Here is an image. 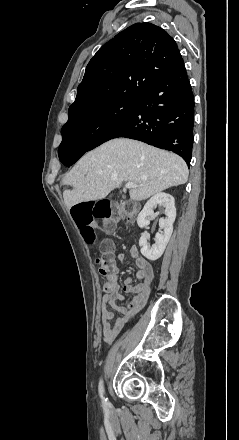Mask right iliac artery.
Masks as SVG:
<instances>
[{
  "mask_svg": "<svg viewBox=\"0 0 239 440\" xmlns=\"http://www.w3.org/2000/svg\"><path fill=\"white\" fill-rule=\"evenodd\" d=\"M99 393H100V396L102 398L103 407L105 409H109L111 407V404L109 403L107 398H105L104 395H103V393H104V386H103V381L102 380H100V382H99Z\"/></svg>",
  "mask_w": 239,
  "mask_h": 440,
  "instance_id": "82829eb1",
  "label": "right iliac artery"
}]
</instances>
